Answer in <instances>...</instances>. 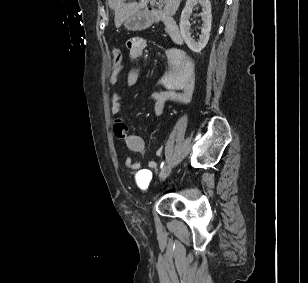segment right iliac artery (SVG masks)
Returning <instances> with one entry per match:
<instances>
[{
    "mask_svg": "<svg viewBox=\"0 0 308 283\" xmlns=\"http://www.w3.org/2000/svg\"><path fill=\"white\" fill-rule=\"evenodd\" d=\"M163 166H164V162H162V163H161V165H160V169H162V168H163Z\"/></svg>",
    "mask_w": 308,
    "mask_h": 283,
    "instance_id": "82829eb1",
    "label": "right iliac artery"
}]
</instances>
